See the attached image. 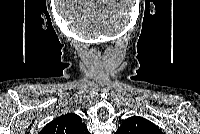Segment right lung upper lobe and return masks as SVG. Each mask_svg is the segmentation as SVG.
<instances>
[{
  "instance_id": "obj_1",
  "label": "right lung upper lobe",
  "mask_w": 200,
  "mask_h": 134,
  "mask_svg": "<svg viewBox=\"0 0 200 134\" xmlns=\"http://www.w3.org/2000/svg\"><path fill=\"white\" fill-rule=\"evenodd\" d=\"M42 134H88L87 126L82 122V118L74 113L62 115L41 131Z\"/></svg>"
}]
</instances>
